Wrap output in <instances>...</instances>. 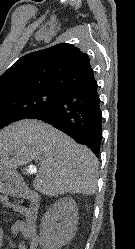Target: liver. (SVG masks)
Instances as JSON below:
<instances>
[{"label":"liver","instance_id":"obj_1","mask_svg":"<svg viewBox=\"0 0 135 249\" xmlns=\"http://www.w3.org/2000/svg\"><path fill=\"white\" fill-rule=\"evenodd\" d=\"M34 160L35 190L48 196L92 195L97 190L98 160L84 145L42 121L23 119L0 130V168L15 171Z\"/></svg>","mask_w":135,"mask_h":249}]
</instances>
